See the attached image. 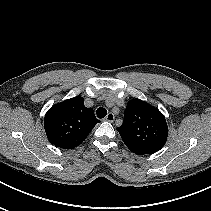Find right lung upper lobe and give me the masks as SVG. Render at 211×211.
I'll return each instance as SVG.
<instances>
[{"label":"right lung upper lobe","mask_w":211,"mask_h":211,"mask_svg":"<svg viewBox=\"0 0 211 211\" xmlns=\"http://www.w3.org/2000/svg\"><path fill=\"white\" fill-rule=\"evenodd\" d=\"M100 121L93 109L84 106L80 96L57 103L44 118L48 140L57 147L72 149L80 145Z\"/></svg>","instance_id":"1"}]
</instances>
